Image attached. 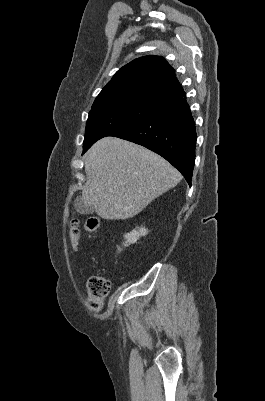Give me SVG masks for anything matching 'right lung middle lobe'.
Wrapping results in <instances>:
<instances>
[{
	"instance_id": "dd1d6c3e",
	"label": "right lung middle lobe",
	"mask_w": 265,
	"mask_h": 401,
	"mask_svg": "<svg viewBox=\"0 0 265 401\" xmlns=\"http://www.w3.org/2000/svg\"><path fill=\"white\" fill-rule=\"evenodd\" d=\"M163 105L143 100H131L92 106L86 123L83 152L97 140L108 136L111 132L135 123L147 115L157 111Z\"/></svg>"
}]
</instances>
